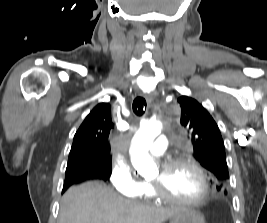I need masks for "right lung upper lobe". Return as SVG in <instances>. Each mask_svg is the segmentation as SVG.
<instances>
[{"instance_id":"right-lung-upper-lobe-1","label":"right lung upper lobe","mask_w":267,"mask_h":223,"mask_svg":"<svg viewBox=\"0 0 267 223\" xmlns=\"http://www.w3.org/2000/svg\"><path fill=\"white\" fill-rule=\"evenodd\" d=\"M113 127L109 103L98 104L77 130L68 163L93 161L96 166L92 171L105 173L107 161L111 160L108 136Z\"/></svg>"}]
</instances>
